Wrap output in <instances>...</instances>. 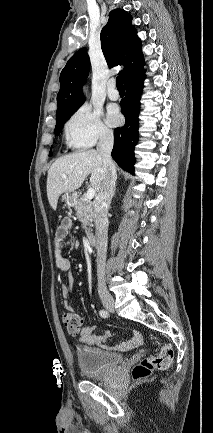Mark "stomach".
Returning <instances> with one entry per match:
<instances>
[{
	"label": "stomach",
	"mask_w": 213,
	"mask_h": 433,
	"mask_svg": "<svg viewBox=\"0 0 213 433\" xmlns=\"http://www.w3.org/2000/svg\"><path fill=\"white\" fill-rule=\"evenodd\" d=\"M76 197L72 192H65L62 194V202L65 205L70 206L74 201H75Z\"/></svg>",
	"instance_id": "0dacf381"
}]
</instances>
